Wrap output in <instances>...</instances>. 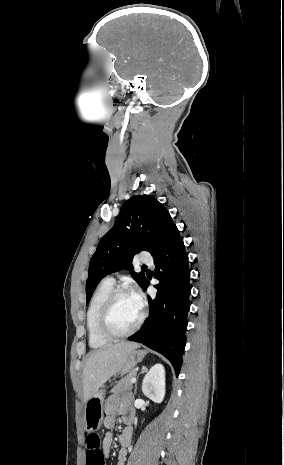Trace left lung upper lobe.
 <instances>
[{
  "label": "left lung upper lobe",
  "mask_w": 284,
  "mask_h": 465,
  "mask_svg": "<svg viewBox=\"0 0 284 465\" xmlns=\"http://www.w3.org/2000/svg\"><path fill=\"white\" fill-rule=\"evenodd\" d=\"M176 230L168 210L154 197L138 195L127 200L90 260L86 300L103 277L123 268L132 269L131 261L139 251L152 256L161 252ZM131 275L140 286L146 279L142 272L131 271Z\"/></svg>",
  "instance_id": "5c2ea615"
}]
</instances>
